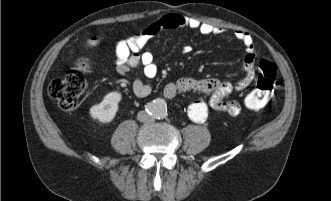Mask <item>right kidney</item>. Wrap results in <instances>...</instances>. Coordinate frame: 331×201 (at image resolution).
<instances>
[{"label":"right kidney","mask_w":331,"mask_h":201,"mask_svg":"<svg viewBox=\"0 0 331 201\" xmlns=\"http://www.w3.org/2000/svg\"><path fill=\"white\" fill-rule=\"evenodd\" d=\"M121 97L122 95L118 91L108 93L101 103L90 108V116L101 123L111 122L116 116Z\"/></svg>","instance_id":"ca27d5eb"}]
</instances>
